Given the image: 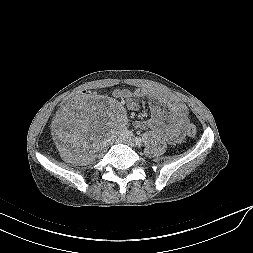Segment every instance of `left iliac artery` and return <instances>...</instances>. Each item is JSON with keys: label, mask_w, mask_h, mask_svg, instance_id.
Returning a JSON list of instances; mask_svg holds the SVG:
<instances>
[{"label": "left iliac artery", "mask_w": 253, "mask_h": 253, "mask_svg": "<svg viewBox=\"0 0 253 253\" xmlns=\"http://www.w3.org/2000/svg\"><path fill=\"white\" fill-rule=\"evenodd\" d=\"M135 143H136V145H138V146H142L143 140H142L140 137H136V138H135Z\"/></svg>", "instance_id": "1"}]
</instances>
